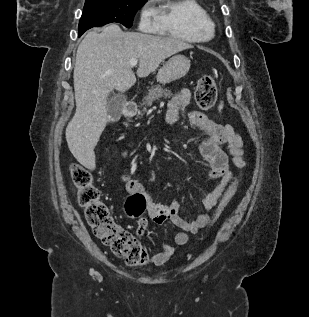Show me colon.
Returning <instances> with one entry per match:
<instances>
[{
	"mask_svg": "<svg viewBox=\"0 0 309 317\" xmlns=\"http://www.w3.org/2000/svg\"><path fill=\"white\" fill-rule=\"evenodd\" d=\"M217 99V87L210 75L199 78L195 89V101L200 109H211ZM71 177L78 189V202L84 209L85 217L97 238L130 266H140L148 261L149 255L134 235L124 230L111 216L107 205L101 200L100 190L94 185L93 175L79 164L71 166ZM233 186L224 193L218 204L222 210L231 197ZM145 197L135 194L129 197L126 209L129 215L139 217L145 209Z\"/></svg>",
	"mask_w": 309,
	"mask_h": 317,
	"instance_id": "obj_1",
	"label": "colon"
}]
</instances>
